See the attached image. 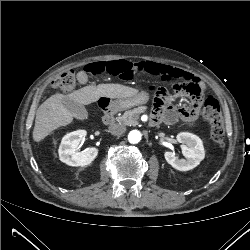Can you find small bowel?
Returning <instances> with one entry per match:
<instances>
[{
	"label": "small bowel",
	"mask_w": 250,
	"mask_h": 250,
	"mask_svg": "<svg viewBox=\"0 0 250 250\" xmlns=\"http://www.w3.org/2000/svg\"><path fill=\"white\" fill-rule=\"evenodd\" d=\"M135 66L149 73L176 80L174 88L181 95H191V91H197V98L176 107L170 103L168 91L162 88L159 90V97L155 100L153 111V118L158 121L173 124L178 119H182L189 126H195L205 94V84L192 73L155 61L146 60ZM77 78L82 84L87 82V75L83 71L78 73Z\"/></svg>",
	"instance_id": "obj_1"
}]
</instances>
